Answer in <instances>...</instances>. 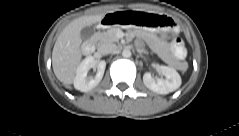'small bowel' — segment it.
Wrapping results in <instances>:
<instances>
[{"label":"small bowel","instance_id":"obj_1","mask_svg":"<svg viewBox=\"0 0 239 136\" xmlns=\"http://www.w3.org/2000/svg\"><path fill=\"white\" fill-rule=\"evenodd\" d=\"M182 48V43L180 42V41H175V43H174V49H175V52H176V55L177 56H179V57H182L183 55H184V53L182 52V53H180V52H178L177 50H178V48Z\"/></svg>","mask_w":239,"mask_h":136}]
</instances>
